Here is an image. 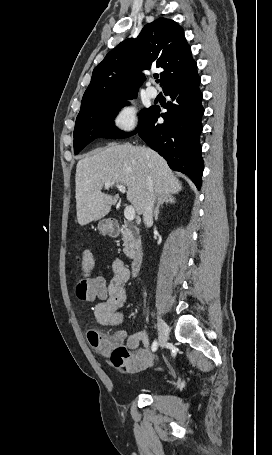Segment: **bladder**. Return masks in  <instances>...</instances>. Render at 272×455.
Masks as SVG:
<instances>
[{"instance_id": "obj_1", "label": "bladder", "mask_w": 272, "mask_h": 455, "mask_svg": "<svg viewBox=\"0 0 272 455\" xmlns=\"http://www.w3.org/2000/svg\"><path fill=\"white\" fill-rule=\"evenodd\" d=\"M162 386H163V384H158L156 387H157V388H160V387H162Z\"/></svg>"}]
</instances>
